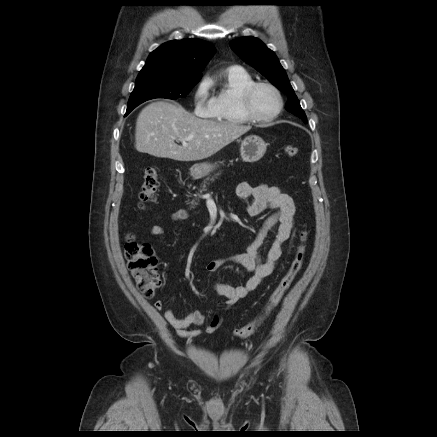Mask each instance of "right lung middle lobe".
I'll list each match as a JSON object with an SVG mask.
<instances>
[{
    "label": "right lung middle lobe",
    "mask_w": 437,
    "mask_h": 437,
    "mask_svg": "<svg viewBox=\"0 0 437 437\" xmlns=\"http://www.w3.org/2000/svg\"><path fill=\"white\" fill-rule=\"evenodd\" d=\"M201 78H183L162 70L140 72L128 101L126 115L144 101L185 97Z\"/></svg>",
    "instance_id": "right-lung-middle-lobe-1"
}]
</instances>
